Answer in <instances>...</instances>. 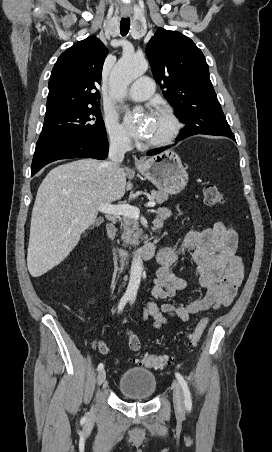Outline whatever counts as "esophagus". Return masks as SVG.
Listing matches in <instances>:
<instances>
[{
    "label": "esophagus",
    "mask_w": 272,
    "mask_h": 452,
    "mask_svg": "<svg viewBox=\"0 0 272 452\" xmlns=\"http://www.w3.org/2000/svg\"><path fill=\"white\" fill-rule=\"evenodd\" d=\"M135 164H136V165H140L141 162H140V161H136Z\"/></svg>",
    "instance_id": "34e87169"
}]
</instances>
